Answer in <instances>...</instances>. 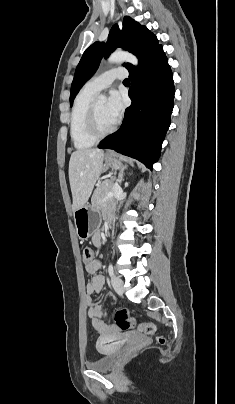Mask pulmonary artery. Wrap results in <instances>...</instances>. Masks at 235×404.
I'll list each match as a JSON object with an SVG mask.
<instances>
[{
    "label": "pulmonary artery",
    "instance_id": "e3ab8cb5",
    "mask_svg": "<svg viewBox=\"0 0 235 404\" xmlns=\"http://www.w3.org/2000/svg\"><path fill=\"white\" fill-rule=\"evenodd\" d=\"M127 76V70L124 68H114L102 73L101 75L89 80L84 90L96 94L103 89L108 88L115 79H123Z\"/></svg>",
    "mask_w": 235,
    "mask_h": 404
}]
</instances>
